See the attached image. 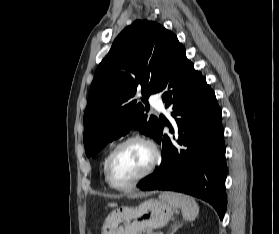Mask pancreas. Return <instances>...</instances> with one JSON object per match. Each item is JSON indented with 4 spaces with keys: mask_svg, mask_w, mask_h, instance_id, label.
Wrapping results in <instances>:
<instances>
[{
    "mask_svg": "<svg viewBox=\"0 0 279 234\" xmlns=\"http://www.w3.org/2000/svg\"><path fill=\"white\" fill-rule=\"evenodd\" d=\"M147 234H159V233H154L152 231H148Z\"/></svg>",
    "mask_w": 279,
    "mask_h": 234,
    "instance_id": "pancreas-1",
    "label": "pancreas"
}]
</instances>
